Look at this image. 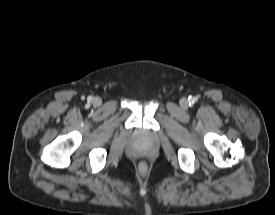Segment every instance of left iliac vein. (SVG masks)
<instances>
[{"label": "left iliac vein", "mask_w": 275, "mask_h": 215, "mask_svg": "<svg viewBox=\"0 0 275 215\" xmlns=\"http://www.w3.org/2000/svg\"><path fill=\"white\" fill-rule=\"evenodd\" d=\"M181 106H182L183 108H186V107L188 106V102H187L186 99H182V100H181Z\"/></svg>", "instance_id": "left-iliac-vein-1"}]
</instances>
